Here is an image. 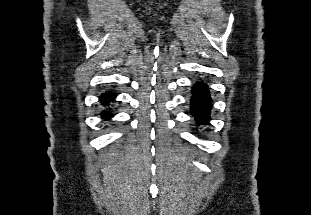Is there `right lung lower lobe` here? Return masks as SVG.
<instances>
[{
    "label": "right lung lower lobe",
    "instance_id": "right-lung-lower-lobe-1",
    "mask_svg": "<svg viewBox=\"0 0 311 215\" xmlns=\"http://www.w3.org/2000/svg\"><path fill=\"white\" fill-rule=\"evenodd\" d=\"M115 97H116V95L114 93H112V92L103 93L100 96V102H101L102 105L106 106V105H108L109 102L114 101ZM101 116L103 118H110L113 115L111 113H109V111H103L101 113Z\"/></svg>",
    "mask_w": 311,
    "mask_h": 215
}]
</instances>
